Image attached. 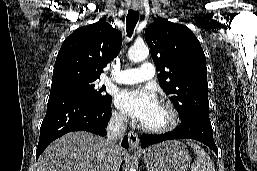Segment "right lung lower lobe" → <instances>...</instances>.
I'll use <instances>...</instances> for the list:
<instances>
[{"label": "right lung lower lobe", "mask_w": 257, "mask_h": 171, "mask_svg": "<svg viewBox=\"0 0 257 171\" xmlns=\"http://www.w3.org/2000/svg\"><path fill=\"white\" fill-rule=\"evenodd\" d=\"M111 117V100L99 104L78 96H62L48 100L47 112L40 127L36 160L55 139L71 131H88L105 136L106 125ZM122 146L128 149L125 136Z\"/></svg>", "instance_id": "1"}]
</instances>
